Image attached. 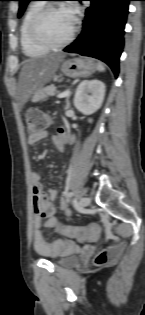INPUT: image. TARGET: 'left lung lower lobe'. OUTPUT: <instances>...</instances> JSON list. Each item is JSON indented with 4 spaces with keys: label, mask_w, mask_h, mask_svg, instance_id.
<instances>
[{
    "label": "left lung lower lobe",
    "mask_w": 145,
    "mask_h": 315,
    "mask_svg": "<svg viewBox=\"0 0 145 315\" xmlns=\"http://www.w3.org/2000/svg\"><path fill=\"white\" fill-rule=\"evenodd\" d=\"M81 1V0H80ZM83 29L64 51L79 53L107 63L117 77L124 46V26L131 0H88Z\"/></svg>",
    "instance_id": "left-lung-lower-lobe-1"
}]
</instances>
